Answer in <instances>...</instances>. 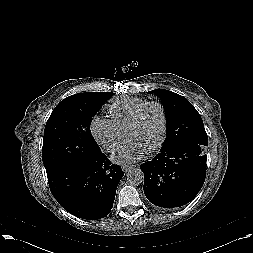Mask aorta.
I'll use <instances>...</instances> for the list:
<instances>
[{
    "label": "aorta",
    "instance_id": "aorta-1",
    "mask_svg": "<svg viewBox=\"0 0 253 253\" xmlns=\"http://www.w3.org/2000/svg\"><path fill=\"white\" fill-rule=\"evenodd\" d=\"M127 180L133 185L142 183L144 180V173L140 168L131 169L127 173Z\"/></svg>",
    "mask_w": 253,
    "mask_h": 253
}]
</instances>
